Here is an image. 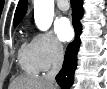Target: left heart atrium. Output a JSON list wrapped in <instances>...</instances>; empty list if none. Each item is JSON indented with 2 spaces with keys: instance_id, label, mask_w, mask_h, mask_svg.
I'll return each mask as SVG.
<instances>
[{
  "instance_id": "39dd6f15",
  "label": "left heart atrium",
  "mask_w": 107,
  "mask_h": 89,
  "mask_svg": "<svg viewBox=\"0 0 107 89\" xmlns=\"http://www.w3.org/2000/svg\"><path fill=\"white\" fill-rule=\"evenodd\" d=\"M55 32L61 41H69L73 36V30L69 19L66 17L59 18L55 23Z\"/></svg>"
}]
</instances>
